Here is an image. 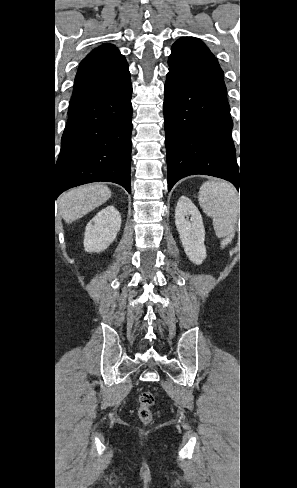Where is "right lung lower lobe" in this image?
Listing matches in <instances>:
<instances>
[{
  "mask_svg": "<svg viewBox=\"0 0 297 488\" xmlns=\"http://www.w3.org/2000/svg\"><path fill=\"white\" fill-rule=\"evenodd\" d=\"M132 85L127 74L94 98L68 110L54 195L107 181L130 193Z\"/></svg>",
  "mask_w": 297,
  "mask_h": 488,
  "instance_id": "1",
  "label": "right lung lower lobe"
}]
</instances>
